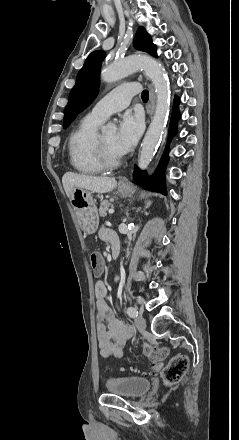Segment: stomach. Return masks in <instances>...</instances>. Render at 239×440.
Returning <instances> with one entry per match:
<instances>
[{"label": "stomach", "instance_id": "obj_1", "mask_svg": "<svg viewBox=\"0 0 239 440\" xmlns=\"http://www.w3.org/2000/svg\"><path fill=\"white\" fill-rule=\"evenodd\" d=\"M118 192L122 196H128V194H132L133 188H118ZM70 202L81 230L87 236L95 234L99 226V216L91 192L77 188L72 192Z\"/></svg>", "mask_w": 239, "mask_h": 440}]
</instances>
